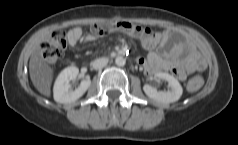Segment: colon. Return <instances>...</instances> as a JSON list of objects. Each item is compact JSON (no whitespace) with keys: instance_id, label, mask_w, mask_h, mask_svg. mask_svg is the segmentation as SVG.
<instances>
[{"instance_id":"obj_1","label":"colon","mask_w":238,"mask_h":145,"mask_svg":"<svg viewBox=\"0 0 238 145\" xmlns=\"http://www.w3.org/2000/svg\"><path fill=\"white\" fill-rule=\"evenodd\" d=\"M113 32H123L133 37L142 39H149L154 36L155 33L152 29L147 27H142L134 23L127 21H114L108 23H97L94 24L90 33L94 37H101L108 35ZM67 47V36L63 31H54L49 35L45 41L42 43L41 51L44 60L53 65L57 63L63 56L64 51ZM203 85V80L201 77H194L188 83V89L190 91H197Z\"/></svg>"}]
</instances>
